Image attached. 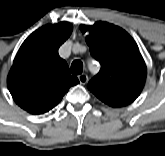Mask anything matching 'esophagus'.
Instances as JSON below:
<instances>
[{"instance_id": "esophagus-1", "label": "esophagus", "mask_w": 165, "mask_h": 156, "mask_svg": "<svg viewBox=\"0 0 165 156\" xmlns=\"http://www.w3.org/2000/svg\"><path fill=\"white\" fill-rule=\"evenodd\" d=\"M78 79H79V82L83 85L88 82V76L86 74H80L78 76Z\"/></svg>"}]
</instances>
